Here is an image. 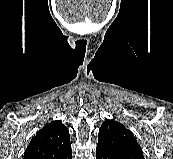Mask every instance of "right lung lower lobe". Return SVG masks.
Wrapping results in <instances>:
<instances>
[{
    "mask_svg": "<svg viewBox=\"0 0 173 159\" xmlns=\"http://www.w3.org/2000/svg\"><path fill=\"white\" fill-rule=\"evenodd\" d=\"M61 159H72V151L63 156Z\"/></svg>",
    "mask_w": 173,
    "mask_h": 159,
    "instance_id": "98d812e1",
    "label": "right lung lower lobe"
}]
</instances>
